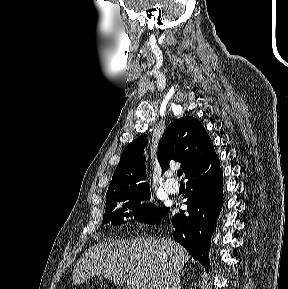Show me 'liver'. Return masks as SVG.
Segmentation results:
<instances>
[{
  "mask_svg": "<svg viewBox=\"0 0 288 289\" xmlns=\"http://www.w3.org/2000/svg\"><path fill=\"white\" fill-rule=\"evenodd\" d=\"M174 259L180 269L189 260L186 250L171 238L108 241L89 247L73 270L74 284L93 276L127 282L129 289H159L167 262Z\"/></svg>",
  "mask_w": 288,
  "mask_h": 289,
  "instance_id": "obj_1",
  "label": "liver"
}]
</instances>
